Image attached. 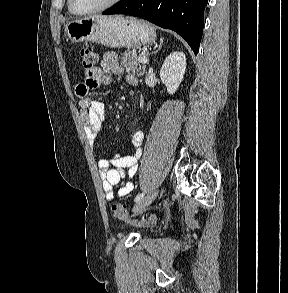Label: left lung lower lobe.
<instances>
[{
  "instance_id": "left-lung-lower-lobe-1",
  "label": "left lung lower lobe",
  "mask_w": 288,
  "mask_h": 293,
  "mask_svg": "<svg viewBox=\"0 0 288 293\" xmlns=\"http://www.w3.org/2000/svg\"><path fill=\"white\" fill-rule=\"evenodd\" d=\"M207 3L208 0H121L102 14L136 16L171 29L189 44L194 54H197Z\"/></svg>"
}]
</instances>
